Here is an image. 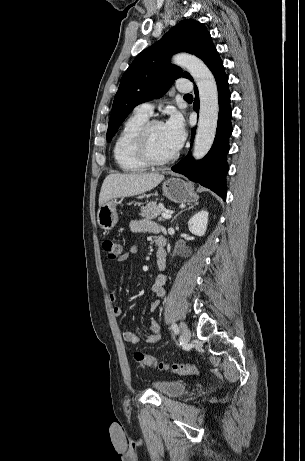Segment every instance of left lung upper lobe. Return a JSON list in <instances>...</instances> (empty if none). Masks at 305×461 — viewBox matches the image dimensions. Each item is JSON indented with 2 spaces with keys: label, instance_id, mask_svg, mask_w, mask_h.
<instances>
[{
  "label": "left lung upper lobe",
  "instance_id": "1",
  "mask_svg": "<svg viewBox=\"0 0 305 461\" xmlns=\"http://www.w3.org/2000/svg\"><path fill=\"white\" fill-rule=\"evenodd\" d=\"M177 52H188L209 67L218 55L206 27L193 19L181 21L159 41L142 51L125 71L115 95L109 120L107 141L135 106L159 98L180 76L193 81L187 72L170 63Z\"/></svg>",
  "mask_w": 305,
  "mask_h": 461
}]
</instances>
